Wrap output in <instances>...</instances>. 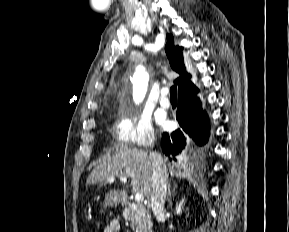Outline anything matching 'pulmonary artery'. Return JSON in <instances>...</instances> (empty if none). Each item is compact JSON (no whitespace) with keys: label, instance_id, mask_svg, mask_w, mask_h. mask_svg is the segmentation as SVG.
<instances>
[{"label":"pulmonary artery","instance_id":"1","mask_svg":"<svg viewBox=\"0 0 289 232\" xmlns=\"http://www.w3.org/2000/svg\"><path fill=\"white\" fill-rule=\"evenodd\" d=\"M167 94H168V89L167 88H163L161 90V96H160V99H159V104L163 108H169L170 107V100L168 99Z\"/></svg>","mask_w":289,"mask_h":232}]
</instances>
